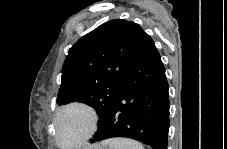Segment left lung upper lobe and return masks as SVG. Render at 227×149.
<instances>
[{"mask_svg": "<svg viewBox=\"0 0 227 149\" xmlns=\"http://www.w3.org/2000/svg\"><path fill=\"white\" fill-rule=\"evenodd\" d=\"M143 33L138 24L115 19L78 40L63 64L56 102L88 104L101 121L121 90Z\"/></svg>", "mask_w": 227, "mask_h": 149, "instance_id": "left-lung-upper-lobe-1", "label": "left lung upper lobe"}]
</instances>
